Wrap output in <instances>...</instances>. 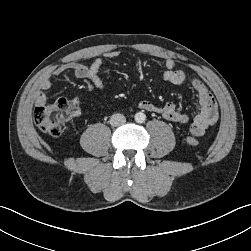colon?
<instances>
[{
  "label": "colon",
  "instance_id": "colon-1",
  "mask_svg": "<svg viewBox=\"0 0 251 251\" xmlns=\"http://www.w3.org/2000/svg\"><path fill=\"white\" fill-rule=\"evenodd\" d=\"M78 114V107L66 99H58L53 103L39 104L34 111L33 118L37 127L44 133L60 136L69 129ZM191 145H197L195 138H189Z\"/></svg>",
  "mask_w": 251,
  "mask_h": 251
}]
</instances>
